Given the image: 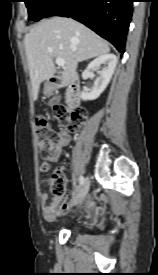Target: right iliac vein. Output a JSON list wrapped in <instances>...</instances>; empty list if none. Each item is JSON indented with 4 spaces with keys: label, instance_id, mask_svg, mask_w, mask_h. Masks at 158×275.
<instances>
[{
    "label": "right iliac vein",
    "instance_id": "obj_1",
    "mask_svg": "<svg viewBox=\"0 0 158 275\" xmlns=\"http://www.w3.org/2000/svg\"><path fill=\"white\" fill-rule=\"evenodd\" d=\"M89 187H90V180H89V178H86L84 180V184H83V187H82L80 193L77 195L76 199L73 201L74 205L78 204L79 202H81L84 199V197L88 193Z\"/></svg>",
    "mask_w": 158,
    "mask_h": 275
}]
</instances>
